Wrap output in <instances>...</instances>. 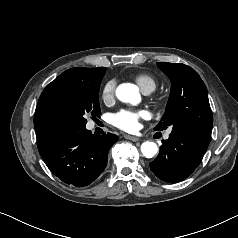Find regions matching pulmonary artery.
I'll return each instance as SVG.
<instances>
[{
    "instance_id": "pulmonary-artery-1",
    "label": "pulmonary artery",
    "mask_w": 238,
    "mask_h": 238,
    "mask_svg": "<svg viewBox=\"0 0 238 238\" xmlns=\"http://www.w3.org/2000/svg\"><path fill=\"white\" fill-rule=\"evenodd\" d=\"M146 93H148V92H146ZM169 134H170V131H168V132L164 135L165 139H168V138H169Z\"/></svg>"
}]
</instances>
